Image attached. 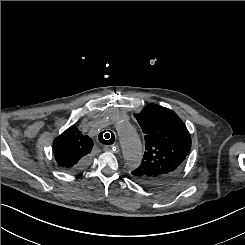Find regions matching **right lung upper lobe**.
<instances>
[{"label": "right lung upper lobe", "mask_w": 245, "mask_h": 245, "mask_svg": "<svg viewBox=\"0 0 245 245\" xmlns=\"http://www.w3.org/2000/svg\"><path fill=\"white\" fill-rule=\"evenodd\" d=\"M92 147V139L84 136L75 126L64 131L53 142L55 159L66 170L75 169L88 157Z\"/></svg>", "instance_id": "cb5924a9"}]
</instances>
